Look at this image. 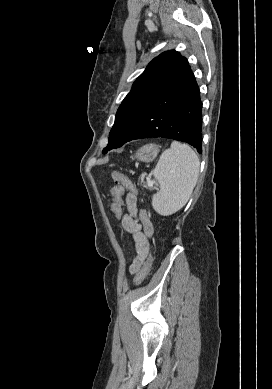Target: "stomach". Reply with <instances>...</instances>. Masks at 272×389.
I'll list each match as a JSON object with an SVG mask.
<instances>
[{"mask_svg": "<svg viewBox=\"0 0 272 389\" xmlns=\"http://www.w3.org/2000/svg\"><path fill=\"white\" fill-rule=\"evenodd\" d=\"M160 151V146L156 144H147L135 153L134 159H138L143 162H150L154 160Z\"/></svg>", "mask_w": 272, "mask_h": 389, "instance_id": "stomach-1", "label": "stomach"}]
</instances>
